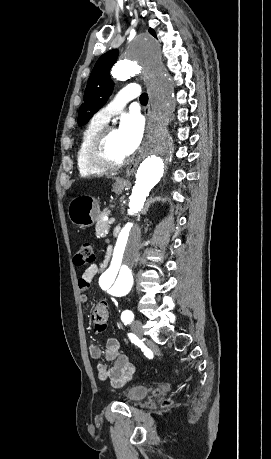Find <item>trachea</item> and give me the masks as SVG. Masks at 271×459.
<instances>
[{"label":"trachea","mask_w":271,"mask_h":459,"mask_svg":"<svg viewBox=\"0 0 271 459\" xmlns=\"http://www.w3.org/2000/svg\"><path fill=\"white\" fill-rule=\"evenodd\" d=\"M139 100L142 104L146 105L148 102V95L147 93H142L139 97Z\"/></svg>","instance_id":"3493384b"}]
</instances>
